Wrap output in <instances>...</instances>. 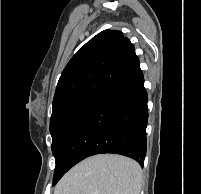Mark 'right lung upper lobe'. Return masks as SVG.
I'll return each instance as SVG.
<instances>
[{"label": "right lung upper lobe", "mask_w": 201, "mask_h": 194, "mask_svg": "<svg viewBox=\"0 0 201 194\" xmlns=\"http://www.w3.org/2000/svg\"><path fill=\"white\" fill-rule=\"evenodd\" d=\"M133 44L121 31L104 30L88 41L64 68L53 107L76 97L98 96L139 67Z\"/></svg>", "instance_id": "right-lung-upper-lobe-1"}]
</instances>
